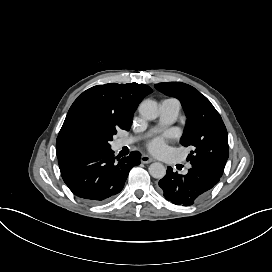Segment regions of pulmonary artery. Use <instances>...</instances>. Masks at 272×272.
<instances>
[{
	"mask_svg": "<svg viewBox=\"0 0 272 272\" xmlns=\"http://www.w3.org/2000/svg\"><path fill=\"white\" fill-rule=\"evenodd\" d=\"M181 110L180 102L174 98L164 99L160 102V118L159 125L155 129L165 128L172 125L179 117ZM138 140L137 137L119 138L112 142V149L119 151L122 147L132 144ZM182 170L186 173L191 172L192 167L186 164L182 167Z\"/></svg>",
	"mask_w": 272,
	"mask_h": 272,
	"instance_id": "obj_1",
	"label": "pulmonary artery"
}]
</instances>
